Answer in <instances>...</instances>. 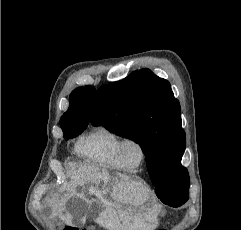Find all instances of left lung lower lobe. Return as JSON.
<instances>
[{
  "label": "left lung lower lobe",
  "mask_w": 241,
  "mask_h": 230,
  "mask_svg": "<svg viewBox=\"0 0 241 230\" xmlns=\"http://www.w3.org/2000/svg\"><path fill=\"white\" fill-rule=\"evenodd\" d=\"M152 182H153V183H157L156 179L152 180ZM178 206H180V205H176V206H174V207H178Z\"/></svg>",
  "instance_id": "1"
}]
</instances>
